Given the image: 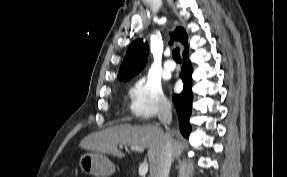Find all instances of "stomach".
I'll return each mask as SVG.
<instances>
[{
	"label": "stomach",
	"mask_w": 287,
	"mask_h": 177,
	"mask_svg": "<svg viewBox=\"0 0 287 177\" xmlns=\"http://www.w3.org/2000/svg\"><path fill=\"white\" fill-rule=\"evenodd\" d=\"M79 166L85 174L95 177H109L115 172L114 164L100 152H85L81 154Z\"/></svg>",
	"instance_id": "obj_1"
}]
</instances>
